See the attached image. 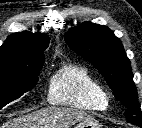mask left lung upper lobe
<instances>
[{
    "instance_id": "obj_1",
    "label": "left lung upper lobe",
    "mask_w": 142,
    "mask_h": 128,
    "mask_svg": "<svg viewBox=\"0 0 142 128\" xmlns=\"http://www.w3.org/2000/svg\"><path fill=\"white\" fill-rule=\"evenodd\" d=\"M65 41L74 52L101 72L114 96L127 108L126 119L142 127V112L130 60L119 38L108 27L85 22L70 29Z\"/></svg>"
}]
</instances>
